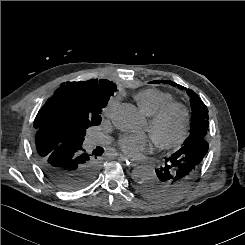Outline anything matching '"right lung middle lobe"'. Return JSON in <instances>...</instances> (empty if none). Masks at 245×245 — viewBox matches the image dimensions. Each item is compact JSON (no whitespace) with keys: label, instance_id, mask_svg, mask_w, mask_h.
Listing matches in <instances>:
<instances>
[{"label":"right lung middle lobe","instance_id":"dd1d6c3e","mask_svg":"<svg viewBox=\"0 0 245 245\" xmlns=\"http://www.w3.org/2000/svg\"><path fill=\"white\" fill-rule=\"evenodd\" d=\"M107 101H108V99L105 101V103H104V105H103V108L106 106ZM100 113H101V111H99V114H98L96 117H94V118H92V119H90V120H89V119H85V120L82 122V131H83V136H82V138H81V141H82V142H83L84 136H85V134H86V129H87L88 127H90V126L99 125V124L101 123L102 118H101V116H100Z\"/></svg>","mask_w":245,"mask_h":245}]
</instances>
